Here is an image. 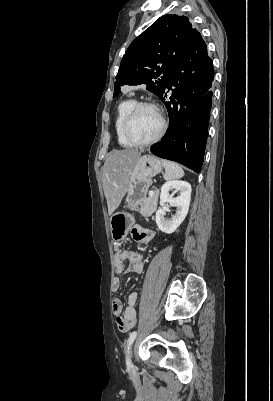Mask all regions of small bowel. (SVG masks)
Instances as JSON below:
<instances>
[{
    "label": "small bowel",
    "mask_w": 273,
    "mask_h": 401,
    "mask_svg": "<svg viewBox=\"0 0 273 401\" xmlns=\"http://www.w3.org/2000/svg\"><path fill=\"white\" fill-rule=\"evenodd\" d=\"M152 228H131L130 236L140 237L143 243H148L153 236ZM127 265V266H126ZM143 264L140 255L132 250L123 249L120 246L114 248V270L117 276L114 278L112 287L117 291L121 288V276L126 273L142 272ZM139 300V294L132 292L128 296L127 305L124 307L120 299L113 301V313L116 320V325L120 331L131 329L137 321L136 306Z\"/></svg>",
    "instance_id": "small-bowel-1"
}]
</instances>
